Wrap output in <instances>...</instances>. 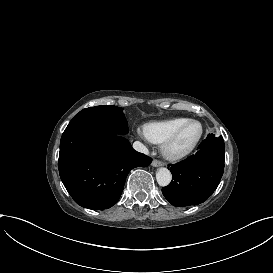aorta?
<instances>
[{"label":"aorta","mask_w":273,"mask_h":273,"mask_svg":"<svg viewBox=\"0 0 273 273\" xmlns=\"http://www.w3.org/2000/svg\"><path fill=\"white\" fill-rule=\"evenodd\" d=\"M156 180L162 187L169 185L172 180L171 172L167 168H159L156 172Z\"/></svg>","instance_id":"aorta-1"}]
</instances>
